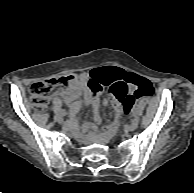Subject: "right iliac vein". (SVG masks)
Returning <instances> with one entry per match:
<instances>
[{"label": "right iliac vein", "instance_id": "obj_1", "mask_svg": "<svg viewBox=\"0 0 194 193\" xmlns=\"http://www.w3.org/2000/svg\"><path fill=\"white\" fill-rule=\"evenodd\" d=\"M57 122L60 123V124H64V121H63V119H62L61 117H59V118L57 119Z\"/></svg>", "mask_w": 194, "mask_h": 193}]
</instances>
